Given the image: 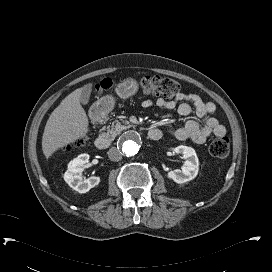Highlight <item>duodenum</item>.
I'll use <instances>...</instances> for the list:
<instances>
[{
    "label": "duodenum",
    "mask_w": 272,
    "mask_h": 272,
    "mask_svg": "<svg viewBox=\"0 0 272 272\" xmlns=\"http://www.w3.org/2000/svg\"><path fill=\"white\" fill-rule=\"evenodd\" d=\"M106 113H107V104L106 103H101L99 105L94 106L90 110L89 119L92 122H94L96 124H99L104 120ZM147 136L151 140H159L162 137V132L157 127L152 126L151 128H149V130L147 132ZM95 146H96V148H98L100 150L107 149L110 146L109 137L106 136V135L98 136L96 141H95Z\"/></svg>",
    "instance_id": "410a0bca"
}]
</instances>
